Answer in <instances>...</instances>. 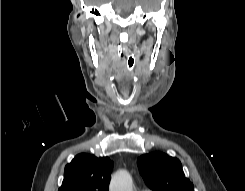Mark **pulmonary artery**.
<instances>
[{"label":"pulmonary artery","instance_id":"pulmonary-artery-1","mask_svg":"<svg viewBox=\"0 0 245 191\" xmlns=\"http://www.w3.org/2000/svg\"><path fill=\"white\" fill-rule=\"evenodd\" d=\"M144 191H150V190H148V189H145Z\"/></svg>","mask_w":245,"mask_h":191}]
</instances>
